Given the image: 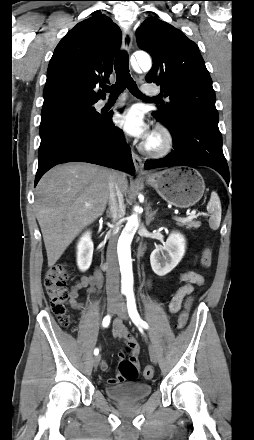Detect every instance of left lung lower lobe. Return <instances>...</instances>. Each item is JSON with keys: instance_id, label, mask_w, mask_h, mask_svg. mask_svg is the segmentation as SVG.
<instances>
[{"instance_id": "left-lung-lower-lobe-1", "label": "left lung lower lobe", "mask_w": 254, "mask_h": 440, "mask_svg": "<svg viewBox=\"0 0 254 440\" xmlns=\"http://www.w3.org/2000/svg\"><path fill=\"white\" fill-rule=\"evenodd\" d=\"M168 129L173 137L174 150L163 159L147 160L146 169L204 165L215 169L229 183V169L222 151L218 122L184 116L180 127Z\"/></svg>"}]
</instances>
